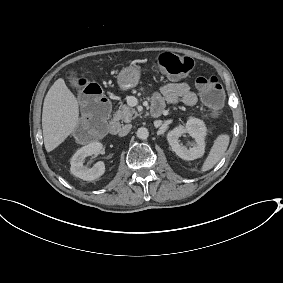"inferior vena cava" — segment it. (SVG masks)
I'll list each match as a JSON object with an SVG mask.
<instances>
[{
  "label": "inferior vena cava",
  "mask_w": 283,
  "mask_h": 283,
  "mask_svg": "<svg viewBox=\"0 0 283 283\" xmlns=\"http://www.w3.org/2000/svg\"><path fill=\"white\" fill-rule=\"evenodd\" d=\"M131 128H132V125L131 124H126V125H124L122 128H121V130L119 131V136H126L129 132H130V130H131Z\"/></svg>",
  "instance_id": "inferior-vena-cava-1"
}]
</instances>
